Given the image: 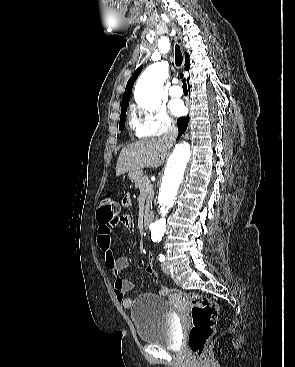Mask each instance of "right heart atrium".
I'll return each instance as SVG.
<instances>
[{"label": "right heart atrium", "instance_id": "1", "mask_svg": "<svg viewBox=\"0 0 295 367\" xmlns=\"http://www.w3.org/2000/svg\"><path fill=\"white\" fill-rule=\"evenodd\" d=\"M131 127L139 137H155L172 132L175 123L164 107L156 106L150 109H134Z\"/></svg>", "mask_w": 295, "mask_h": 367}]
</instances>
